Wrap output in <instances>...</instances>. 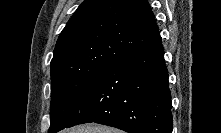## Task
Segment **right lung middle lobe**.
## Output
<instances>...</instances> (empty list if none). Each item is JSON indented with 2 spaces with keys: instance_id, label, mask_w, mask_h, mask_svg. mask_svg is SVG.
Here are the masks:
<instances>
[{
  "instance_id": "1",
  "label": "right lung middle lobe",
  "mask_w": 221,
  "mask_h": 133,
  "mask_svg": "<svg viewBox=\"0 0 221 133\" xmlns=\"http://www.w3.org/2000/svg\"><path fill=\"white\" fill-rule=\"evenodd\" d=\"M109 66L65 68L51 74L49 133H56L67 127L86 103L99 78Z\"/></svg>"
}]
</instances>
